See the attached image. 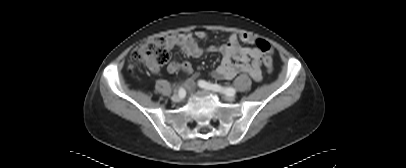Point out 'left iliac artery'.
<instances>
[{"instance_id":"1","label":"left iliac artery","mask_w":406,"mask_h":168,"mask_svg":"<svg viewBox=\"0 0 406 168\" xmlns=\"http://www.w3.org/2000/svg\"><path fill=\"white\" fill-rule=\"evenodd\" d=\"M198 85L201 88H205V89H208V90H213L215 92H220V93H223V94H226V95L235 94V89L232 88V87L224 88V87H222V86H220L218 84H212V83L206 82L204 80H199Z\"/></svg>"}]
</instances>
